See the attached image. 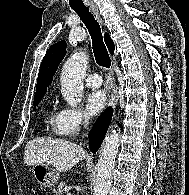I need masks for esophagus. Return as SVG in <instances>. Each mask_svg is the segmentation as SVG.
Instances as JSON below:
<instances>
[{"label":"esophagus","instance_id":"obj_1","mask_svg":"<svg viewBox=\"0 0 189 195\" xmlns=\"http://www.w3.org/2000/svg\"><path fill=\"white\" fill-rule=\"evenodd\" d=\"M91 10L94 13V15L96 16V18L98 19V21L100 22V24H102V18L100 16L99 12H98L97 7L92 6ZM114 70H115V63L113 62L110 73L113 77V80L115 81ZM117 102H118V87H117L116 84H114V88L112 90L111 97H110V100H109V105L114 107L117 104Z\"/></svg>","mask_w":189,"mask_h":195}]
</instances>
